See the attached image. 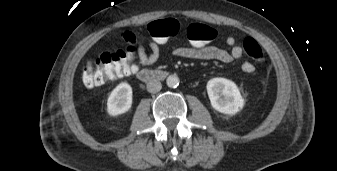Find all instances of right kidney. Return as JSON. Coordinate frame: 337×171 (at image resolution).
Segmentation results:
<instances>
[{"instance_id":"right-kidney-1","label":"right kidney","mask_w":337,"mask_h":171,"mask_svg":"<svg viewBox=\"0 0 337 171\" xmlns=\"http://www.w3.org/2000/svg\"><path fill=\"white\" fill-rule=\"evenodd\" d=\"M132 106V88L128 83H120L110 94L107 101L109 115L117 116L127 112Z\"/></svg>"}]
</instances>
